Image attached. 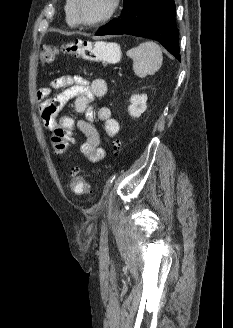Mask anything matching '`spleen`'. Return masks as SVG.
I'll return each instance as SVG.
<instances>
[{
    "label": "spleen",
    "mask_w": 233,
    "mask_h": 328,
    "mask_svg": "<svg viewBox=\"0 0 233 328\" xmlns=\"http://www.w3.org/2000/svg\"><path fill=\"white\" fill-rule=\"evenodd\" d=\"M115 43H108L107 49H116ZM127 56L133 60V71L138 77L153 75L162 66L163 56L160 46L153 41H145L127 51Z\"/></svg>",
    "instance_id": "spleen-1"
}]
</instances>
